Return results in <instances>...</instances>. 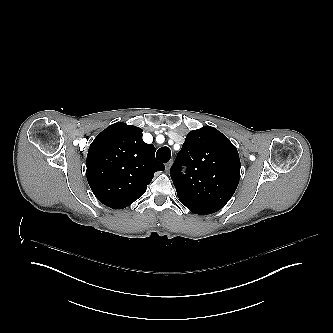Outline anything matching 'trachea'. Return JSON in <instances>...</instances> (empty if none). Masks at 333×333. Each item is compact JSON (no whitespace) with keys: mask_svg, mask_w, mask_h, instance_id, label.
<instances>
[{"mask_svg":"<svg viewBox=\"0 0 333 333\" xmlns=\"http://www.w3.org/2000/svg\"><path fill=\"white\" fill-rule=\"evenodd\" d=\"M156 158L163 163H166L171 158V151L169 147H161L156 153Z\"/></svg>","mask_w":333,"mask_h":333,"instance_id":"obj_1","label":"trachea"}]
</instances>
